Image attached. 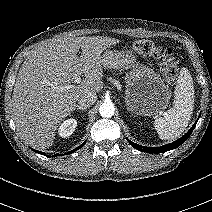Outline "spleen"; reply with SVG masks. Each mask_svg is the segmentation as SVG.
<instances>
[{
    "instance_id": "3e777b00",
    "label": "spleen",
    "mask_w": 212,
    "mask_h": 212,
    "mask_svg": "<svg viewBox=\"0 0 212 212\" xmlns=\"http://www.w3.org/2000/svg\"><path fill=\"white\" fill-rule=\"evenodd\" d=\"M194 107L193 80L186 68H182L174 91V105L154 121V127L162 140H176L189 124Z\"/></svg>"
}]
</instances>
